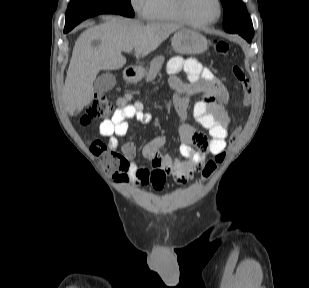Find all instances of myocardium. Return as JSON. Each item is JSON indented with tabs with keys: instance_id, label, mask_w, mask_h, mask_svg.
<instances>
[{
	"instance_id": "1",
	"label": "myocardium",
	"mask_w": 309,
	"mask_h": 288,
	"mask_svg": "<svg viewBox=\"0 0 309 288\" xmlns=\"http://www.w3.org/2000/svg\"><path fill=\"white\" fill-rule=\"evenodd\" d=\"M175 1V7L177 10L178 15L180 16V18L188 25L195 27V28H204L210 25H213L215 23H217L223 14V5H222V1L221 0H216L217 3V15L215 18L208 20V21H203V22H199L196 21L194 19H192L186 9V2L187 0H174Z\"/></svg>"
}]
</instances>
